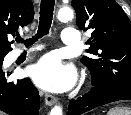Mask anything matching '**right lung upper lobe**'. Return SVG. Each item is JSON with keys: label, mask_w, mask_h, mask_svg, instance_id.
I'll return each instance as SVG.
<instances>
[{"label": "right lung upper lobe", "mask_w": 131, "mask_h": 115, "mask_svg": "<svg viewBox=\"0 0 131 115\" xmlns=\"http://www.w3.org/2000/svg\"><path fill=\"white\" fill-rule=\"evenodd\" d=\"M34 8L31 0H0V58L12 50L8 36L32 22Z\"/></svg>", "instance_id": "right-lung-upper-lobe-1"}]
</instances>
